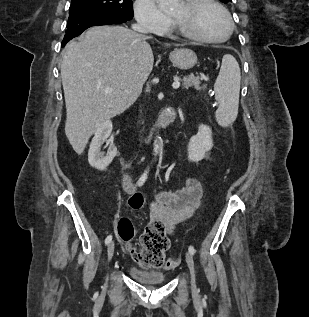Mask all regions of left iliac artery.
Returning a JSON list of instances; mask_svg holds the SVG:
<instances>
[{"mask_svg": "<svg viewBox=\"0 0 309 317\" xmlns=\"http://www.w3.org/2000/svg\"><path fill=\"white\" fill-rule=\"evenodd\" d=\"M188 250H189V252L192 254V255H194L195 254V248L193 247V246H189V248H188Z\"/></svg>", "mask_w": 309, "mask_h": 317, "instance_id": "1", "label": "left iliac artery"}]
</instances>
